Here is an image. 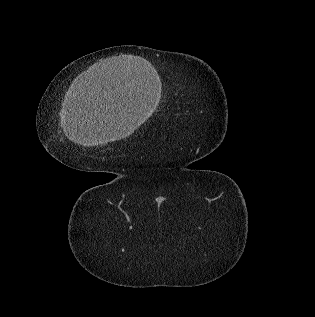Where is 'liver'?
Wrapping results in <instances>:
<instances>
[{
    "mask_svg": "<svg viewBox=\"0 0 315 317\" xmlns=\"http://www.w3.org/2000/svg\"><path fill=\"white\" fill-rule=\"evenodd\" d=\"M130 63H136L132 58ZM116 86V84H115ZM109 91L100 93V88H92L74 97L65 110L63 130L68 138L89 147L120 140L130 136L139 126L127 109Z\"/></svg>",
    "mask_w": 315,
    "mask_h": 317,
    "instance_id": "obj_1",
    "label": "liver"
}]
</instances>
